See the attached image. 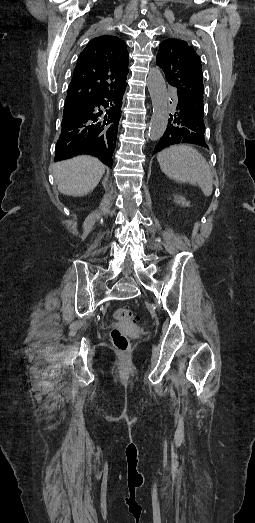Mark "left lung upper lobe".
<instances>
[{
    "mask_svg": "<svg viewBox=\"0 0 255 523\" xmlns=\"http://www.w3.org/2000/svg\"><path fill=\"white\" fill-rule=\"evenodd\" d=\"M156 61L168 83L177 88L178 100L190 107L191 115L205 118L201 60L193 47L183 40L169 38L160 44Z\"/></svg>",
    "mask_w": 255,
    "mask_h": 523,
    "instance_id": "5c2ea615",
    "label": "left lung upper lobe"
}]
</instances>
